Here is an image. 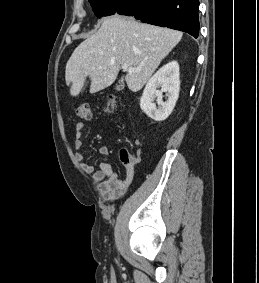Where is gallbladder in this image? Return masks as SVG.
Segmentation results:
<instances>
[{"instance_id":"bac80fb5","label":"gallbladder","mask_w":259,"mask_h":283,"mask_svg":"<svg viewBox=\"0 0 259 283\" xmlns=\"http://www.w3.org/2000/svg\"><path fill=\"white\" fill-rule=\"evenodd\" d=\"M115 89H116L117 91H121V90L123 89V85L120 83L119 85H117V86L115 87Z\"/></svg>"}]
</instances>
